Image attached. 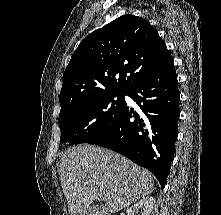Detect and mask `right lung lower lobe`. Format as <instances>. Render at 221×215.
Here are the masks:
<instances>
[{
    "label": "right lung lower lobe",
    "instance_id": "obj_1",
    "mask_svg": "<svg viewBox=\"0 0 221 215\" xmlns=\"http://www.w3.org/2000/svg\"><path fill=\"white\" fill-rule=\"evenodd\" d=\"M126 95L140 110L125 105L112 128L88 143L112 149L147 168L163 188L173 159L180 114L173 59L133 85Z\"/></svg>",
    "mask_w": 221,
    "mask_h": 215
}]
</instances>
